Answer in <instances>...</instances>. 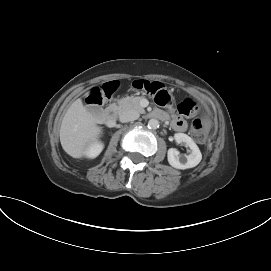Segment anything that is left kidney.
Returning a JSON list of instances; mask_svg holds the SVG:
<instances>
[{
    "label": "left kidney",
    "instance_id": "1",
    "mask_svg": "<svg viewBox=\"0 0 271 271\" xmlns=\"http://www.w3.org/2000/svg\"><path fill=\"white\" fill-rule=\"evenodd\" d=\"M174 138L177 143H184L191 149V153L185 158L180 157V153L175 148H170L167 153L169 164L176 169H188L197 166L202 160V154L195 142L184 133H176Z\"/></svg>",
    "mask_w": 271,
    "mask_h": 271
}]
</instances>
